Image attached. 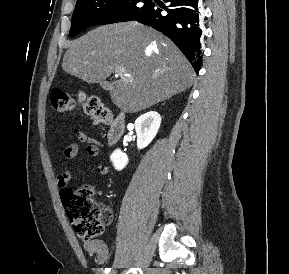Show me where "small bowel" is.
Returning a JSON list of instances; mask_svg holds the SVG:
<instances>
[{
  "label": "small bowel",
  "instance_id": "small-bowel-1",
  "mask_svg": "<svg viewBox=\"0 0 289 274\" xmlns=\"http://www.w3.org/2000/svg\"><path fill=\"white\" fill-rule=\"evenodd\" d=\"M75 137L79 142L86 144L85 152L89 156L95 157L99 155L98 141L96 139L89 137L86 133L82 131H76ZM79 151V145L77 143H71L64 149L63 156L66 159H73L79 154ZM96 170L101 175H105L109 171L108 167L102 163H98L96 165ZM71 178L72 171L66 170L57 175L56 184L59 188L64 189L68 185ZM83 246L88 254L95 257V261L97 264L102 265L108 260L109 249L102 240L95 239L85 241Z\"/></svg>",
  "mask_w": 289,
  "mask_h": 274
}]
</instances>
